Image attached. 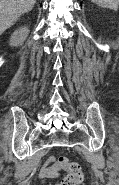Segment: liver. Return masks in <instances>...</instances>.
Masks as SVG:
<instances>
[{
    "instance_id": "6515ba94",
    "label": "liver",
    "mask_w": 119,
    "mask_h": 185,
    "mask_svg": "<svg viewBox=\"0 0 119 185\" xmlns=\"http://www.w3.org/2000/svg\"><path fill=\"white\" fill-rule=\"evenodd\" d=\"M36 0H0V35L24 13L31 11Z\"/></svg>"
}]
</instances>
